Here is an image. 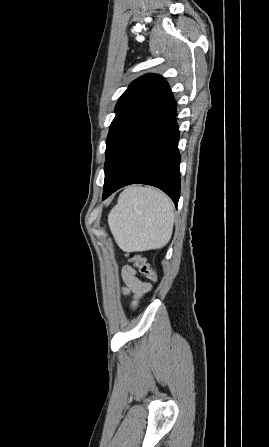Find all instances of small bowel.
<instances>
[{
  "instance_id": "1",
  "label": "small bowel",
  "mask_w": 269,
  "mask_h": 447,
  "mask_svg": "<svg viewBox=\"0 0 269 447\" xmlns=\"http://www.w3.org/2000/svg\"><path fill=\"white\" fill-rule=\"evenodd\" d=\"M122 279L125 284L122 291L125 295L133 298L132 307L134 308L138 305L139 300L151 290V285L142 281L131 266L123 267Z\"/></svg>"
}]
</instances>
